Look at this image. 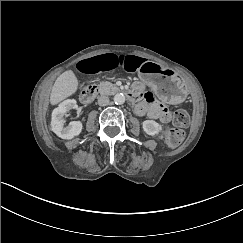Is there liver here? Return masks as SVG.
Segmentation results:
<instances>
[{"instance_id":"6515ba94","label":"liver","mask_w":243,"mask_h":243,"mask_svg":"<svg viewBox=\"0 0 243 243\" xmlns=\"http://www.w3.org/2000/svg\"><path fill=\"white\" fill-rule=\"evenodd\" d=\"M79 88V80L72 69L60 74L55 80L49 98L51 106H56L74 95Z\"/></svg>"}]
</instances>
